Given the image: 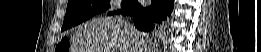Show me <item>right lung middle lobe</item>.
<instances>
[{
    "label": "right lung middle lobe",
    "instance_id": "1",
    "mask_svg": "<svg viewBox=\"0 0 261 52\" xmlns=\"http://www.w3.org/2000/svg\"><path fill=\"white\" fill-rule=\"evenodd\" d=\"M108 8L109 0H69L61 31L76 26Z\"/></svg>",
    "mask_w": 261,
    "mask_h": 52
}]
</instances>
